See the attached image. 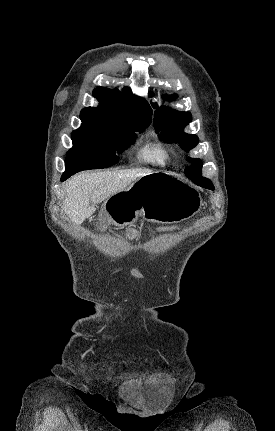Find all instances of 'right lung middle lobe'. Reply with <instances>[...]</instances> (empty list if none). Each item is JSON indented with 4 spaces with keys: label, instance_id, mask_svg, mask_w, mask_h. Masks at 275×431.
Listing matches in <instances>:
<instances>
[{
    "label": "right lung middle lobe",
    "instance_id": "dd1d6c3e",
    "mask_svg": "<svg viewBox=\"0 0 275 431\" xmlns=\"http://www.w3.org/2000/svg\"><path fill=\"white\" fill-rule=\"evenodd\" d=\"M148 125L130 127L113 120L82 121L81 127L72 132L73 147L67 152L64 174L116 164V153L133 144L135 131Z\"/></svg>",
    "mask_w": 275,
    "mask_h": 431
}]
</instances>
